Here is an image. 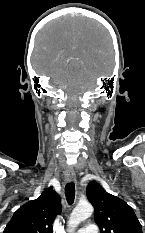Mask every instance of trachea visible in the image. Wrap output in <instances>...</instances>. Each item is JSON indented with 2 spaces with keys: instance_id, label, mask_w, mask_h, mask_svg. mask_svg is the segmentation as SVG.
<instances>
[{
  "instance_id": "1",
  "label": "trachea",
  "mask_w": 145,
  "mask_h": 233,
  "mask_svg": "<svg viewBox=\"0 0 145 233\" xmlns=\"http://www.w3.org/2000/svg\"><path fill=\"white\" fill-rule=\"evenodd\" d=\"M65 196L69 205L73 204L75 198V185L73 182L67 183L65 186Z\"/></svg>"
}]
</instances>
